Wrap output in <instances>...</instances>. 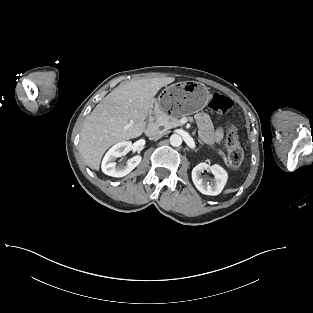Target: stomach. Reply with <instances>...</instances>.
Segmentation results:
<instances>
[{
  "mask_svg": "<svg viewBox=\"0 0 313 313\" xmlns=\"http://www.w3.org/2000/svg\"><path fill=\"white\" fill-rule=\"evenodd\" d=\"M209 98V91L204 84L184 81L166 87L154 101V105L160 112L181 117L203 109Z\"/></svg>",
  "mask_w": 313,
  "mask_h": 313,
  "instance_id": "0dacf381",
  "label": "stomach"
}]
</instances>
